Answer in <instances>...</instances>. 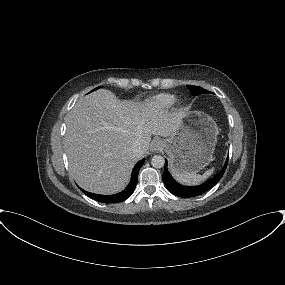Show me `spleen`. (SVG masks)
Listing matches in <instances>:
<instances>
[{"instance_id": "3e777b00", "label": "spleen", "mask_w": 285, "mask_h": 285, "mask_svg": "<svg viewBox=\"0 0 285 285\" xmlns=\"http://www.w3.org/2000/svg\"><path fill=\"white\" fill-rule=\"evenodd\" d=\"M214 172V167L207 170L203 175L196 174V173H176L174 177L178 182L184 185H197L201 181L207 179L211 176Z\"/></svg>"}]
</instances>
